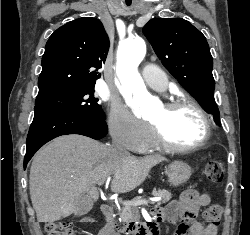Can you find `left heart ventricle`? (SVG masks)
Listing matches in <instances>:
<instances>
[{
	"instance_id": "1",
	"label": "left heart ventricle",
	"mask_w": 250,
	"mask_h": 235,
	"mask_svg": "<svg viewBox=\"0 0 250 235\" xmlns=\"http://www.w3.org/2000/svg\"><path fill=\"white\" fill-rule=\"evenodd\" d=\"M148 120L159 125L166 138L176 145L194 144L203 134L202 119L191 107H181L171 112L161 107Z\"/></svg>"
}]
</instances>
